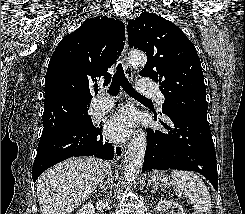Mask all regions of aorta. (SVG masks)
<instances>
[{
	"label": "aorta",
	"instance_id": "obj_1",
	"mask_svg": "<svg viewBox=\"0 0 245 214\" xmlns=\"http://www.w3.org/2000/svg\"><path fill=\"white\" fill-rule=\"evenodd\" d=\"M128 60L132 65L144 66L147 58L142 52L132 51L128 56ZM146 145V134L140 129L134 134L126 150L124 160V178L128 183L134 181L140 172L144 161Z\"/></svg>",
	"mask_w": 245,
	"mask_h": 214
}]
</instances>
